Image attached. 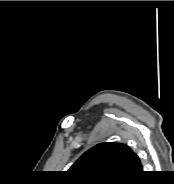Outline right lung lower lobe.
I'll list each match as a JSON object with an SVG mask.
<instances>
[{"instance_id":"right-lung-lower-lobe-1","label":"right lung lower lobe","mask_w":174,"mask_h":184,"mask_svg":"<svg viewBox=\"0 0 174 184\" xmlns=\"http://www.w3.org/2000/svg\"><path fill=\"white\" fill-rule=\"evenodd\" d=\"M133 182V180L132 181H129L128 183H132Z\"/></svg>"}]
</instances>
